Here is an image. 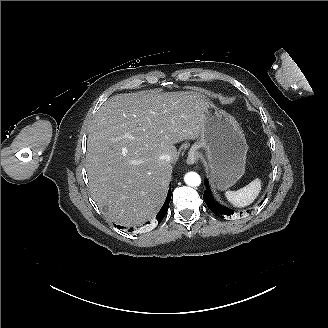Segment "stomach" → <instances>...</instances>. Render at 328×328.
<instances>
[{
  "label": "stomach",
  "mask_w": 328,
  "mask_h": 328,
  "mask_svg": "<svg viewBox=\"0 0 328 328\" xmlns=\"http://www.w3.org/2000/svg\"><path fill=\"white\" fill-rule=\"evenodd\" d=\"M202 112L204 130L194 149L202 148L208 158L207 169L213 183L221 190L234 185L244 174L248 145L236 119L211 101Z\"/></svg>",
  "instance_id": "obj_1"
}]
</instances>
